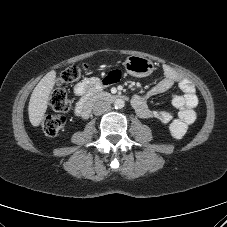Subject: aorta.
<instances>
[{
    "mask_svg": "<svg viewBox=\"0 0 227 227\" xmlns=\"http://www.w3.org/2000/svg\"><path fill=\"white\" fill-rule=\"evenodd\" d=\"M114 106L116 109H121L125 106V101L123 99L118 98L114 101Z\"/></svg>",
    "mask_w": 227,
    "mask_h": 227,
    "instance_id": "obj_1",
    "label": "aorta"
}]
</instances>
